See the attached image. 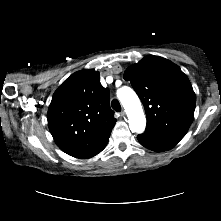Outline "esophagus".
Wrapping results in <instances>:
<instances>
[{"instance_id": "esophagus-1", "label": "esophagus", "mask_w": 221, "mask_h": 221, "mask_svg": "<svg viewBox=\"0 0 221 221\" xmlns=\"http://www.w3.org/2000/svg\"><path fill=\"white\" fill-rule=\"evenodd\" d=\"M120 115H121V116H125V111H124V110L121 111V112H120Z\"/></svg>"}]
</instances>
